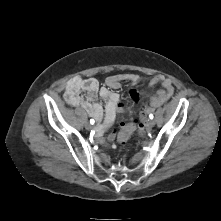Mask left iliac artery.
Here are the masks:
<instances>
[{
    "mask_svg": "<svg viewBox=\"0 0 221 221\" xmlns=\"http://www.w3.org/2000/svg\"><path fill=\"white\" fill-rule=\"evenodd\" d=\"M149 118H150V119H153V118H154L153 114H150V115H149Z\"/></svg>",
    "mask_w": 221,
    "mask_h": 221,
    "instance_id": "44dca946",
    "label": "left iliac artery"
}]
</instances>
